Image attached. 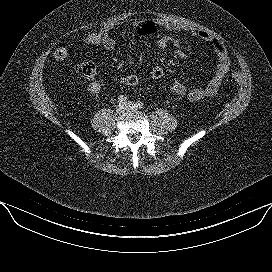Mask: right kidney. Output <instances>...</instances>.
<instances>
[{
    "instance_id": "1",
    "label": "right kidney",
    "mask_w": 272,
    "mask_h": 272,
    "mask_svg": "<svg viewBox=\"0 0 272 272\" xmlns=\"http://www.w3.org/2000/svg\"><path fill=\"white\" fill-rule=\"evenodd\" d=\"M101 90V85L99 82H92L89 84L88 86V91L92 94V95H98V93Z\"/></svg>"
}]
</instances>
